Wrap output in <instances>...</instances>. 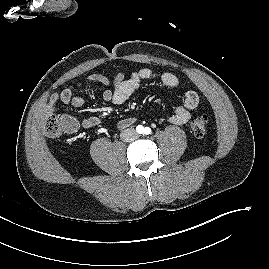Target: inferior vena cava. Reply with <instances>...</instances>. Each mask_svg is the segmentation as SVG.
Segmentation results:
<instances>
[{
    "label": "inferior vena cava",
    "mask_w": 269,
    "mask_h": 269,
    "mask_svg": "<svg viewBox=\"0 0 269 269\" xmlns=\"http://www.w3.org/2000/svg\"><path fill=\"white\" fill-rule=\"evenodd\" d=\"M136 136H137V133L133 129H126L121 133V137L125 141L134 140Z\"/></svg>",
    "instance_id": "inferior-vena-cava-1"
}]
</instances>
